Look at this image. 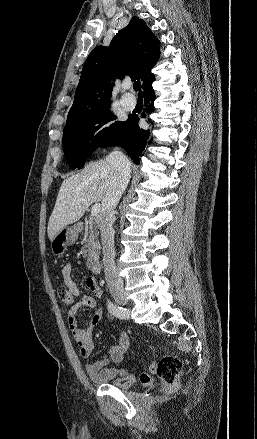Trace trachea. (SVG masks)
Wrapping results in <instances>:
<instances>
[{
    "label": "trachea",
    "instance_id": "trachea-1",
    "mask_svg": "<svg viewBox=\"0 0 257 439\" xmlns=\"http://www.w3.org/2000/svg\"><path fill=\"white\" fill-rule=\"evenodd\" d=\"M133 89H134L135 91H138V92H139V95H142L141 85H140V81H139V80H137V81L134 82V84H133Z\"/></svg>",
    "mask_w": 257,
    "mask_h": 439
}]
</instances>
